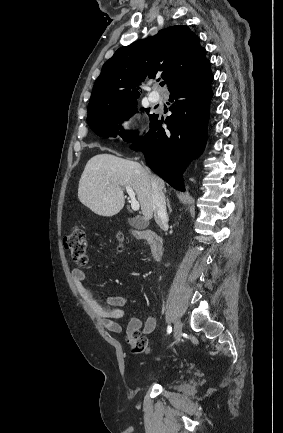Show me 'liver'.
I'll return each mask as SVG.
<instances>
[{"mask_svg": "<svg viewBox=\"0 0 283 433\" xmlns=\"http://www.w3.org/2000/svg\"><path fill=\"white\" fill-rule=\"evenodd\" d=\"M152 178L162 190L164 180L150 174L140 162L114 154H96L88 160L81 174L79 200L101 217H113L125 204L122 186H131L137 194L145 221H150L154 212Z\"/></svg>", "mask_w": 283, "mask_h": 433, "instance_id": "1", "label": "liver"}]
</instances>
